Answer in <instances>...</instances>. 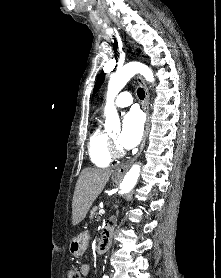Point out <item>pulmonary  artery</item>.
<instances>
[{
  "label": "pulmonary artery",
  "mask_w": 221,
  "mask_h": 278,
  "mask_svg": "<svg viewBox=\"0 0 221 278\" xmlns=\"http://www.w3.org/2000/svg\"><path fill=\"white\" fill-rule=\"evenodd\" d=\"M133 102V97L130 92H122L118 95L115 100V105L117 107H127Z\"/></svg>",
  "instance_id": "pulmonary-artery-1"
}]
</instances>
